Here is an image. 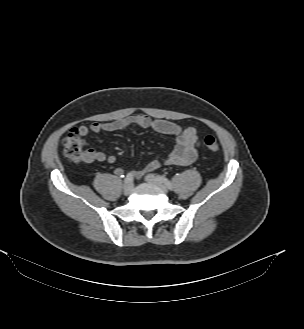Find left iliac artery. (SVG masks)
<instances>
[{
    "mask_svg": "<svg viewBox=\"0 0 304 329\" xmlns=\"http://www.w3.org/2000/svg\"><path fill=\"white\" fill-rule=\"evenodd\" d=\"M158 178L167 186L168 189L173 190V185L167 178L164 176H158Z\"/></svg>",
    "mask_w": 304,
    "mask_h": 329,
    "instance_id": "44dca946",
    "label": "left iliac artery"
}]
</instances>
